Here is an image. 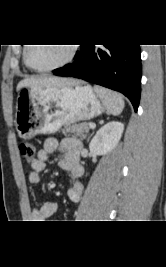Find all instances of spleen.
<instances>
[{"label": "spleen", "instance_id": "1", "mask_svg": "<svg viewBox=\"0 0 166 267\" xmlns=\"http://www.w3.org/2000/svg\"><path fill=\"white\" fill-rule=\"evenodd\" d=\"M94 90L110 114L117 116L123 111L125 103L119 93L98 86Z\"/></svg>", "mask_w": 166, "mask_h": 267}]
</instances>
